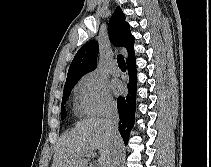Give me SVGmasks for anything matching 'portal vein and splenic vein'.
Returning a JSON list of instances; mask_svg holds the SVG:
<instances>
[{"mask_svg": "<svg viewBox=\"0 0 211 167\" xmlns=\"http://www.w3.org/2000/svg\"><path fill=\"white\" fill-rule=\"evenodd\" d=\"M95 156H96V153H94V152L84 155V157H87V158H94Z\"/></svg>", "mask_w": 211, "mask_h": 167, "instance_id": "portal-vein-and-splenic-vein-1", "label": "portal vein and splenic vein"}]
</instances>
